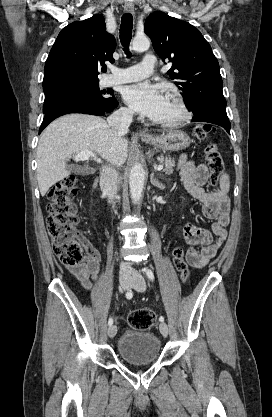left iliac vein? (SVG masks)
I'll return each mask as SVG.
<instances>
[{
	"mask_svg": "<svg viewBox=\"0 0 272 417\" xmlns=\"http://www.w3.org/2000/svg\"><path fill=\"white\" fill-rule=\"evenodd\" d=\"M132 287L138 292H144L146 289V283H145L144 277L138 272L134 274V277L132 280ZM159 329H160L161 334L164 337H167L169 331H168V326L165 322H161L159 324Z\"/></svg>",
	"mask_w": 272,
	"mask_h": 417,
	"instance_id": "4c4485c4",
	"label": "left iliac vein"
}]
</instances>
